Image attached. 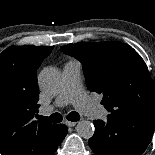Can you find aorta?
<instances>
[{"instance_id": "obj_1", "label": "aorta", "mask_w": 155, "mask_h": 155, "mask_svg": "<svg viewBox=\"0 0 155 155\" xmlns=\"http://www.w3.org/2000/svg\"><path fill=\"white\" fill-rule=\"evenodd\" d=\"M39 84L41 88L50 94L57 93L62 87V75L54 67H46L39 74ZM78 134L83 138H91L94 134V126L86 120L78 122L76 126Z\"/></svg>"}]
</instances>
